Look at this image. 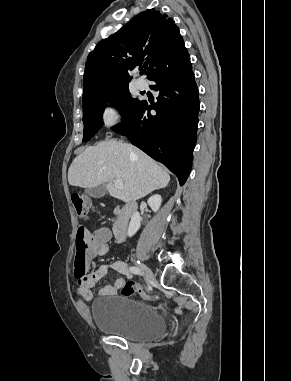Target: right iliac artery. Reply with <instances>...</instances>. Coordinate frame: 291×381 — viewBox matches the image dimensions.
Wrapping results in <instances>:
<instances>
[{"label":"right iliac artery","instance_id":"right-iliac-artery-1","mask_svg":"<svg viewBox=\"0 0 291 381\" xmlns=\"http://www.w3.org/2000/svg\"><path fill=\"white\" fill-rule=\"evenodd\" d=\"M130 272L133 273V274H136V275H143L142 271L136 267V266H131L129 268Z\"/></svg>","mask_w":291,"mask_h":381}]
</instances>
